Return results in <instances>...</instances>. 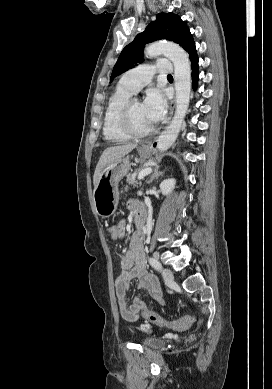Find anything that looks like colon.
<instances>
[{"mask_svg":"<svg viewBox=\"0 0 272 389\" xmlns=\"http://www.w3.org/2000/svg\"><path fill=\"white\" fill-rule=\"evenodd\" d=\"M108 232H109V236L111 237V239H113V240L118 239L119 230H118V227L116 225L110 226L108 228ZM145 316H146V319L154 325H157L159 327L169 328V329L176 330V331H181V330L187 329L192 322L191 316H185V317L178 319V320L169 321V320H166L165 318L161 317L159 314H157L156 312H154L153 310H150V309L145 310ZM190 339L191 340L194 339V336L191 335Z\"/></svg>","mask_w":272,"mask_h":389,"instance_id":"5ec220e1","label":"colon"}]
</instances>
